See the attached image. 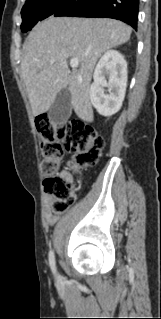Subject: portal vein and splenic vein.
<instances>
[{"label": "portal vein and splenic vein", "instance_id": "1", "mask_svg": "<svg viewBox=\"0 0 161 319\" xmlns=\"http://www.w3.org/2000/svg\"><path fill=\"white\" fill-rule=\"evenodd\" d=\"M78 65H79V60H78L77 58H72V59L70 60V66H71L72 68H76Z\"/></svg>", "mask_w": 161, "mask_h": 319}]
</instances>
